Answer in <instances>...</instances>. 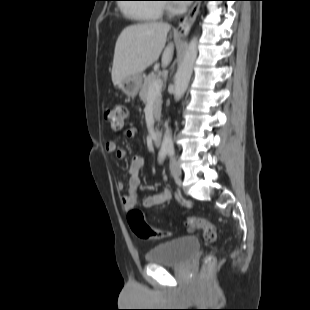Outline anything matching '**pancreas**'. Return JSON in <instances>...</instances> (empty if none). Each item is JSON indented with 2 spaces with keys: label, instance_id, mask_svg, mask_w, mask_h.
I'll use <instances>...</instances> for the list:
<instances>
[{
  "label": "pancreas",
  "instance_id": "pancreas-1",
  "mask_svg": "<svg viewBox=\"0 0 310 310\" xmlns=\"http://www.w3.org/2000/svg\"><path fill=\"white\" fill-rule=\"evenodd\" d=\"M157 80V76L155 74H150L148 77L144 79L143 84L140 89V99L143 103H147L148 93L150 86ZM161 105H162V97L161 93L155 96L154 105H153V114L156 120L160 118L161 115Z\"/></svg>",
  "mask_w": 310,
  "mask_h": 310
}]
</instances>
